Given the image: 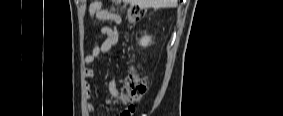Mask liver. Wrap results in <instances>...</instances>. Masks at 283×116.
Instances as JSON below:
<instances>
[{
    "label": "liver",
    "mask_w": 283,
    "mask_h": 116,
    "mask_svg": "<svg viewBox=\"0 0 283 116\" xmlns=\"http://www.w3.org/2000/svg\"><path fill=\"white\" fill-rule=\"evenodd\" d=\"M126 3L132 5H139L143 8L153 7L158 8H168L177 6L178 0H123Z\"/></svg>",
    "instance_id": "6515ba94"
}]
</instances>
